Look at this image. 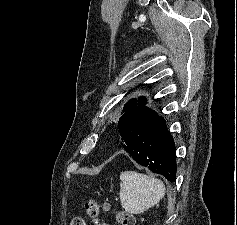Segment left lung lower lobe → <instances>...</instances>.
<instances>
[{"instance_id":"1","label":"left lung lower lobe","mask_w":237,"mask_h":225,"mask_svg":"<svg viewBox=\"0 0 237 225\" xmlns=\"http://www.w3.org/2000/svg\"><path fill=\"white\" fill-rule=\"evenodd\" d=\"M123 148L137 163L173 182L176 150L165 121L148 107L125 114L118 122Z\"/></svg>"}]
</instances>
